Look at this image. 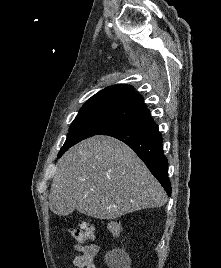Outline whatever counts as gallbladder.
Listing matches in <instances>:
<instances>
[{
  "instance_id": "obj_1",
  "label": "gallbladder",
  "mask_w": 221,
  "mask_h": 268,
  "mask_svg": "<svg viewBox=\"0 0 221 268\" xmlns=\"http://www.w3.org/2000/svg\"><path fill=\"white\" fill-rule=\"evenodd\" d=\"M74 203V199H55L51 205L52 213H57V217H68L69 213L78 209L77 205H70Z\"/></svg>"
}]
</instances>
